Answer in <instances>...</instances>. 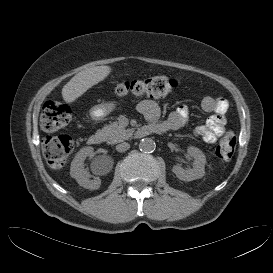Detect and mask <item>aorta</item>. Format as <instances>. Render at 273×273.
Returning <instances> with one entry per match:
<instances>
[{"label":"aorta","instance_id":"obj_1","mask_svg":"<svg viewBox=\"0 0 273 273\" xmlns=\"http://www.w3.org/2000/svg\"><path fill=\"white\" fill-rule=\"evenodd\" d=\"M156 143L151 138H143L139 143V149L145 153H151L155 150Z\"/></svg>","mask_w":273,"mask_h":273}]
</instances>
